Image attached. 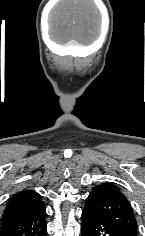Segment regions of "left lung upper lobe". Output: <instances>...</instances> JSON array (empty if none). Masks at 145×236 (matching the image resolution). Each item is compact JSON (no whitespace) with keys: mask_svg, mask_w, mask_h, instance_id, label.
<instances>
[{"mask_svg":"<svg viewBox=\"0 0 145 236\" xmlns=\"http://www.w3.org/2000/svg\"><path fill=\"white\" fill-rule=\"evenodd\" d=\"M85 209L112 223L126 236H137V222L130 202L114 184L95 186L86 199Z\"/></svg>","mask_w":145,"mask_h":236,"instance_id":"5c2ea615","label":"left lung upper lobe"}]
</instances>
